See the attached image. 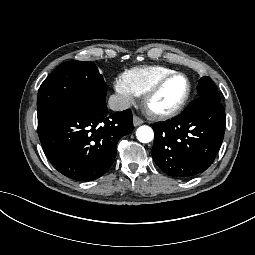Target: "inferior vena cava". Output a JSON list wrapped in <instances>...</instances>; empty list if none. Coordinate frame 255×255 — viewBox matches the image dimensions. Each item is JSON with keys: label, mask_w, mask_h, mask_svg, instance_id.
Segmentation results:
<instances>
[{"label": "inferior vena cava", "mask_w": 255, "mask_h": 255, "mask_svg": "<svg viewBox=\"0 0 255 255\" xmlns=\"http://www.w3.org/2000/svg\"><path fill=\"white\" fill-rule=\"evenodd\" d=\"M108 104L110 109L114 111H122L131 106L129 98L121 94L111 95Z\"/></svg>", "instance_id": "602c4592"}]
</instances>
